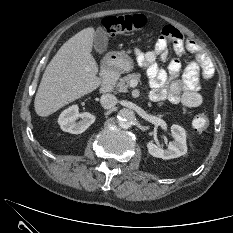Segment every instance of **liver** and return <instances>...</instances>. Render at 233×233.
<instances>
[{"mask_svg": "<svg viewBox=\"0 0 233 233\" xmlns=\"http://www.w3.org/2000/svg\"><path fill=\"white\" fill-rule=\"evenodd\" d=\"M95 30L85 28L67 40L50 61L34 100L35 112L46 117L101 85L91 54Z\"/></svg>", "mask_w": 233, "mask_h": 233, "instance_id": "6515ba94", "label": "liver"}]
</instances>
